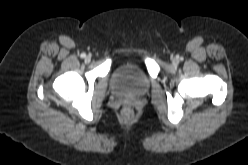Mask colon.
<instances>
[{
  "mask_svg": "<svg viewBox=\"0 0 248 165\" xmlns=\"http://www.w3.org/2000/svg\"><path fill=\"white\" fill-rule=\"evenodd\" d=\"M124 116L127 117L128 119L132 118L133 112L130 108H125L124 111Z\"/></svg>",
  "mask_w": 248,
  "mask_h": 165,
  "instance_id": "1",
  "label": "colon"
}]
</instances>
